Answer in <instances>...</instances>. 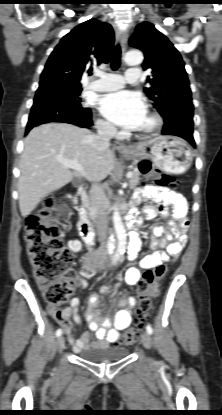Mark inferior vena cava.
I'll use <instances>...</instances> for the list:
<instances>
[{
    "label": "inferior vena cava",
    "mask_w": 222,
    "mask_h": 415,
    "mask_svg": "<svg viewBox=\"0 0 222 415\" xmlns=\"http://www.w3.org/2000/svg\"><path fill=\"white\" fill-rule=\"evenodd\" d=\"M97 135L90 137L91 144L97 153H101L109 147V142L116 134L115 126L108 122H100L96 125ZM107 198L103 188L100 185H92L90 190V215L97 229L99 249L95 252L97 256H106L108 254V216H107Z\"/></svg>",
    "instance_id": "1"
}]
</instances>
